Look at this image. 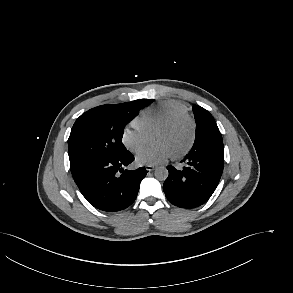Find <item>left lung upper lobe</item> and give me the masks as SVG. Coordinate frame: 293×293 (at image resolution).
I'll return each mask as SVG.
<instances>
[{
    "instance_id": "left-lung-upper-lobe-1",
    "label": "left lung upper lobe",
    "mask_w": 293,
    "mask_h": 293,
    "mask_svg": "<svg viewBox=\"0 0 293 293\" xmlns=\"http://www.w3.org/2000/svg\"><path fill=\"white\" fill-rule=\"evenodd\" d=\"M196 121V137L194 145L202 143H214L223 147L221 133L213 116L200 106H193Z\"/></svg>"
}]
</instances>
